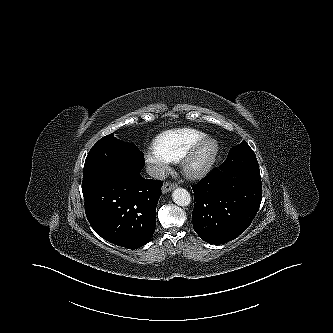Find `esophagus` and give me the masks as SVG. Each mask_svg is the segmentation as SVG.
Returning <instances> with one entry per match:
<instances>
[{
  "label": "esophagus",
  "mask_w": 333,
  "mask_h": 333,
  "mask_svg": "<svg viewBox=\"0 0 333 333\" xmlns=\"http://www.w3.org/2000/svg\"><path fill=\"white\" fill-rule=\"evenodd\" d=\"M177 187V184L175 183H171V182H166L163 187H162V192L163 193H167L172 191L173 189H175Z\"/></svg>",
  "instance_id": "esophagus-1"
}]
</instances>
